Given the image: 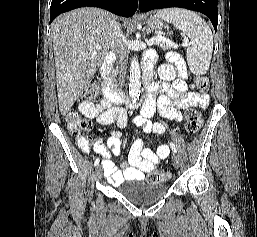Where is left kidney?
<instances>
[{
	"instance_id": "5707ae66",
	"label": "left kidney",
	"mask_w": 257,
	"mask_h": 237,
	"mask_svg": "<svg viewBox=\"0 0 257 237\" xmlns=\"http://www.w3.org/2000/svg\"><path fill=\"white\" fill-rule=\"evenodd\" d=\"M158 75L161 80L171 81L176 77V70L171 64H161L158 67Z\"/></svg>"
}]
</instances>
